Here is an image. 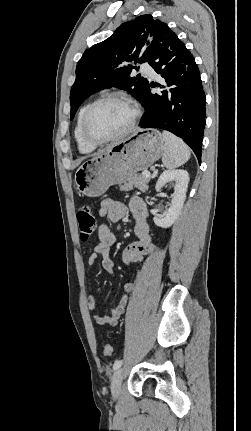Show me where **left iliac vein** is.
Instances as JSON below:
<instances>
[{
    "label": "left iliac vein",
    "instance_id": "1",
    "mask_svg": "<svg viewBox=\"0 0 251 431\" xmlns=\"http://www.w3.org/2000/svg\"><path fill=\"white\" fill-rule=\"evenodd\" d=\"M123 380V369H117L111 380V393L114 398H117L121 391V385Z\"/></svg>",
    "mask_w": 251,
    "mask_h": 431
}]
</instances>
